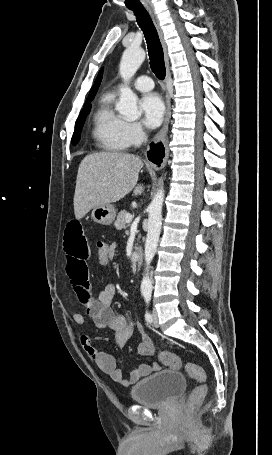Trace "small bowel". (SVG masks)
Masks as SVG:
<instances>
[{
  "instance_id": "obj_1",
  "label": "small bowel",
  "mask_w": 272,
  "mask_h": 455,
  "mask_svg": "<svg viewBox=\"0 0 272 455\" xmlns=\"http://www.w3.org/2000/svg\"><path fill=\"white\" fill-rule=\"evenodd\" d=\"M116 248L115 244L109 245L111 259L116 254ZM64 249L67 260V273L79 305L98 329L113 331L116 344L120 347L124 346L133 333V325L124 315L116 314L112 308V299L116 293L113 283H107L97 299L93 297L87 266L90 251L82 224L77 220L70 221L66 226ZM73 320L78 326L85 324V316L82 312H74ZM138 328L142 338L137 348L138 354L142 357H150L155 351L153 341L142 326H138ZM80 344L95 364L122 387H128L160 369L158 362H154L151 365L141 364L136 370L126 376L117 367L115 355L96 349L87 335L80 337Z\"/></svg>"
}]
</instances>
